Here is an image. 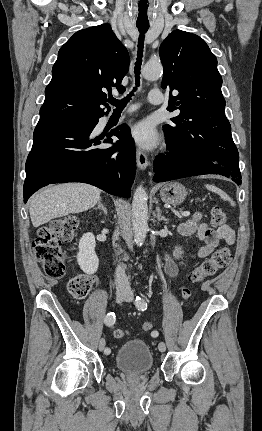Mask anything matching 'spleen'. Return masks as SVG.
<instances>
[{
	"mask_svg": "<svg viewBox=\"0 0 262 431\" xmlns=\"http://www.w3.org/2000/svg\"><path fill=\"white\" fill-rule=\"evenodd\" d=\"M207 189L211 190L212 192L217 193L223 200L225 201H229L231 206H235V203L233 202V200L221 189L217 188L214 185H206Z\"/></svg>",
	"mask_w": 262,
	"mask_h": 431,
	"instance_id": "spleen-1",
	"label": "spleen"
}]
</instances>
